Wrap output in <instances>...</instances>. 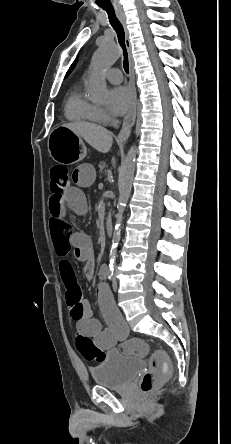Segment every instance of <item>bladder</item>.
<instances>
[{"instance_id": "31cf9c89", "label": "bladder", "mask_w": 231, "mask_h": 444, "mask_svg": "<svg viewBox=\"0 0 231 444\" xmlns=\"http://www.w3.org/2000/svg\"><path fill=\"white\" fill-rule=\"evenodd\" d=\"M144 368L142 359L125 356L121 350L108 351L97 366L91 368L95 383L109 389H120L130 383Z\"/></svg>"}]
</instances>
